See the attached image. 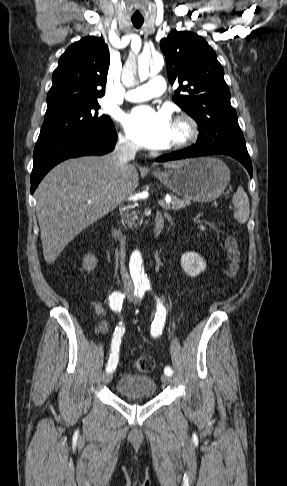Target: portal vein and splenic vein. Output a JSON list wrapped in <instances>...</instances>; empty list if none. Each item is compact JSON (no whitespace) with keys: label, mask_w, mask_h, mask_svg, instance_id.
Here are the masks:
<instances>
[{"label":"portal vein and splenic vein","mask_w":287,"mask_h":486,"mask_svg":"<svg viewBox=\"0 0 287 486\" xmlns=\"http://www.w3.org/2000/svg\"><path fill=\"white\" fill-rule=\"evenodd\" d=\"M130 200L133 199V198H129ZM158 203L163 207V208H167L170 203H171V199L170 198H166V199H159L158 200Z\"/></svg>","instance_id":"18ae733b"}]
</instances>
